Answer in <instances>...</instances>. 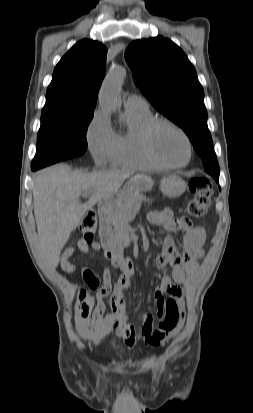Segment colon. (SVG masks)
Here are the masks:
<instances>
[{"label": "colon", "instance_id": "colon-1", "mask_svg": "<svg viewBox=\"0 0 253 413\" xmlns=\"http://www.w3.org/2000/svg\"><path fill=\"white\" fill-rule=\"evenodd\" d=\"M189 190L193 197L186 207V215L193 218L203 217L210 205L212 186L208 179L204 177H195L189 181ZM185 218V217H183ZM188 220L187 218H185ZM97 229V217L94 212L87 213L79 225V231L83 236L82 241L91 243ZM91 290L97 289L96 286H89ZM98 292L91 294L86 289L79 291V301L77 304V315L87 317L94 306ZM161 319L158 328L154 332L157 341L162 342L176 328L180 313L177 304L173 298L164 300V308L160 313Z\"/></svg>", "mask_w": 253, "mask_h": 413}]
</instances>
